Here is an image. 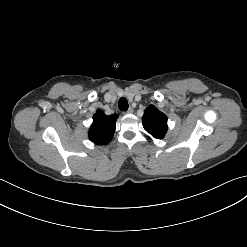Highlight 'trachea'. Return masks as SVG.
I'll list each match as a JSON object with an SVG mask.
<instances>
[{"instance_id": "trachea-1", "label": "trachea", "mask_w": 247, "mask_h": 247, "mask_svg": "<svg viewBox=\"0 0 247 247\" xmlns=\"http://www.w3.org/2000/svg\"><path fill=\"white\" fill-rule=\"evenodd\" d=\"M118 108L121 111H127L128 110V102L127 99L124 97H121L118 102Z\"/></svg>"}]
</instances>
